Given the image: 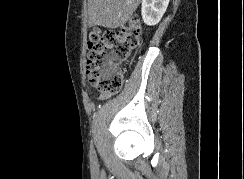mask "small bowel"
<instances>
[{
    "mask_svg": "<svg viewBox=\"0 0 244 179\" xmlns=\"http://www.w3.org/2000/svg\"><path fill=\"white\" fill-rule=\"evenodd\" d=\"M110 97V94L99 91L97 94V99L100 101L106 100Z\"/></svg>",
    "mask_w": 244,
    "mask_h": 179,
    "instance_id": "c3829d8e",
    "label": "small bowel"
}]
</instances>
